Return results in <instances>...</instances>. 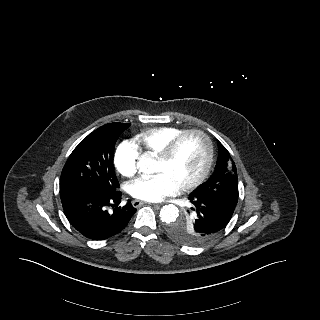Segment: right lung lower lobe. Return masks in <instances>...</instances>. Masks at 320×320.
I'll return each instance as SVG.
<instances>
[{"label": "right lung lower lobe", "mask_w": 320, "mask_h": 320, "mask_svg": "<svg viewBox=\"0 0 320 320\" xmlns=\"http://www.w3.org/2000/svg\"><path fill=\"white\" fill-rule=\"evenodd\" d=\"M64 213L71 225L83 236L92 240H105L121 232L136 212L130 200L119 207L121 192L61 193ZM115 203V205H112ZM112 206L113 210L106 208Z\"/></svg>", "instance_id": "1"}]
</instances>
